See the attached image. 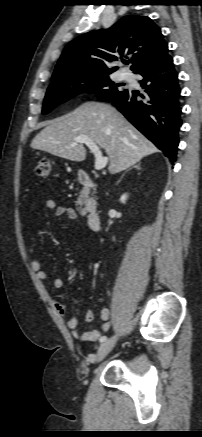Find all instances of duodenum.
Returning <instances> with one entry per match:
<instances>
[{
	"instance_id": "1",
	"label": "duodenum",
	"mask_w": 202,
	"mask_h": 437,
	"mask_svg": "<svg viewBox=\"0 0 202 437\" xmlns=\"http://www.w3.org/2000/svg\"><path fill=\"white\" fill-rule=\"evenodd\" d=\"M78 181L87 191L91 190L95 185L93 178L84 171L78 173ZM87 224L93 231H98L101 227V218L95 206L88 208Z\"/></svg>"
}]
</instances>
